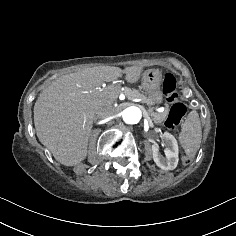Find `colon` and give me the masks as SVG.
Returning a JSON list of instances; mask_svg holds the SVG:
<instances>
[{"label":"colon","mask_w":236,"mask_h":236,"mask_svg":"<svg viewBox=\"0 0 236 236\" xmlns=\"http://www.w3.org/2000/svg\"><path fill=\"white\" fill-rule=\"evenodd\" d=\"M177 80L171 73H167L162 82V92L167 101L171 103V107L165 121V126L169 129L175 128L183 119L186 113L185 105L179 101L176 92Z\"/></svg>","instance_id":"1"}]
</instances>
